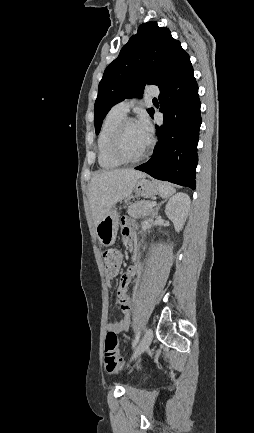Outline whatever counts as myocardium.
Returning a JSON list of instances; mask_svg holds the SVG:
<instances>
[{
  "instance_id": "obj_1",
  "label": "myocardium",
  "mask_w": 254,
  "mask_h": 433,
  "mask_svg": "<svg viewBox=\"0 0 254 433\" xmlns=\"http://www.w3.org/2000/svg\"><path fill=\"white\" fill-rule=\"evenodd\" d=\"M133 121H135V119L132 117H124L117 125L111 138V143H110L111 154L115 159H117L122 164L136 163L143 160L148 155L149 151L153 146V138L149 136V140L146 148L138 156L128 157L124 154L121 148L122 133L126 125Z\"/></svg>"
}]
</instances>
